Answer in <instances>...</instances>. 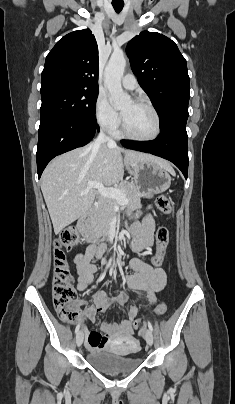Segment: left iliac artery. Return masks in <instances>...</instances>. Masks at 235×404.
<instances>
[{"instance_id": "44dca946", "label": "left iliac artery", "mask_w": 235, "mask_h": 404, "mask_svg": "<svg viewBox=\"0 0 235 404\" xmlns=\"http://www.w3.org/2000/svg\"><path fill=\"white\" fill-rule=\"evenodd\" d=\"M148 327H149V329H150L151 331H153V326H152V324H151L150 322H148Z\"/></svg>"}]
</instances>
